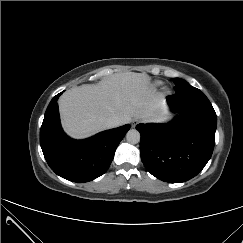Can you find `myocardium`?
I'll return each instance as SVG.
<instances>
[{"mask_svg":"<svg viewBox=\"0 0 243 243\" xmlns=\"http://www.w3.org/2000/svg\"><path fill=\"white\" fill-rule=\"evenodd\" d=\"M166 92H167V93H169V92H170V90H169L168 88H166Z\"/></svg>","mask_w":243,"mask_h":243,"instance_id":"f54148a6","label":"myocardium"}]
</instances>
